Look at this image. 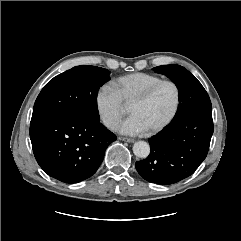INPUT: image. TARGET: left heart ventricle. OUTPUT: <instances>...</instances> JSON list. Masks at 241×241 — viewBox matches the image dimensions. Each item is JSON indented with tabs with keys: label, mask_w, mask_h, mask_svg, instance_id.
<instances>
[{
	"label": "left heart ventricle",
	"mask_w": 241,
	"mask_h": 241,
	"mask_svg": "<svg viewBox=\"0 0 241 241\" xmlns=\"http://www.w3.org/2000/svg\"><path fill=\"white\" fill-rule=\"evenodd\" d=\"M174 104V88L171 85H163L147 102L131 105L129 111L131 114L138 115L148 129H151L162 123L169 116Z\"/></svg>",
	"instance_id": "b2bd125f"
}]
</instances>
